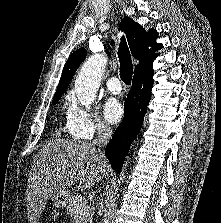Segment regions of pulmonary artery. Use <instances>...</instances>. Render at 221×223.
<instances>
[{
	"mask_svg": "<svg viewBox=\"0 0 221 223\" xmlns=\"http://www.w3.org/2000/svg\"><path fill=\"white\" fill-rule=\"evenodd\" d=\"M106 85H107V88L114 94H118L121 92L122 88H121L120 80L116 76L109 77L106 80Z\"/></svg>",
	"mask_w": 221,
	"mask_h": 223,
	"instance_id": "1",
	"label": "pulmonary artery"
}]
</instances>
